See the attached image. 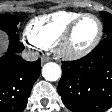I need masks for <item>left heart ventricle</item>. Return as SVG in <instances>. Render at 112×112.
Wrapping results in <instances>:
<instances>
[{
    "label": "left heart ventricle",
    "instance_id": "left-heart-ventricle-1",
    "mask_svg": "<svg viewBox=\"0 0 112 112\" xmlns=\"http://www.w3.org/2000/svg\"><path fill=\"white\" fill-rule=\"evenodd\" d=\"M97 32V21L93 17H85L74 29L67 47L72 51L84 49L94 40Z\"/></svg>",
    "mask_w": 112,
    "mask_h": 112
}]
</instances>
